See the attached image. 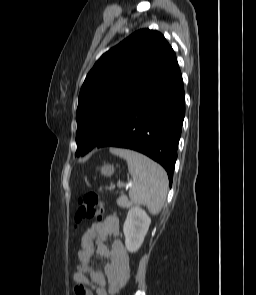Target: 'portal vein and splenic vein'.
Wrapping results in <instances>:
<instances>
[{
    "instance_id": "18ae733b",
    "label": "portal vein and splenic vein",
    "mask_w": 256,
    "mask_h": 295,
    "mask_svg": "<svg viewBox=\"0 0 256 295\" xmlns=\"http://www.w3.org/2000/svg\"><path fill=\"white\" fill-rule=\"evenodd\" d=\"M117 185H118V187H126V188H128V187H131L132 186V183H129V184H124V183H122V182H118L117 183Z\"/></svg>"
}]
</instances>
